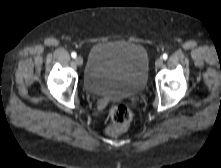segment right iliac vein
<instances>
[{"mask_svg":"<svg viewBox=\"0 0 221 168\" xmlns=\"http://www.w3.org/2000/svg\"><path fill=\"white\" fill-rule=\"evenodd\" d=\"M75 63L78 65V66H81L83 64V59L82 57L78 56L75 58Z\"/></svg>","mask_w":221,"mask_h":168,"instance_id":"right-iliac-vein-1","label":"right iliac vein"}]
</instances>
